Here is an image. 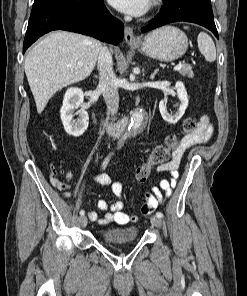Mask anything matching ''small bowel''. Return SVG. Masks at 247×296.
Segmentation results:
<instances>
[{
    "mask_svg": "<svg viewBox=\"0 0 247 296\" xmlns=\"http://www.w3.org/2000/svg\"><path fill=\"white\" fill-rule=\"evenodd\" d=\"M213 131V126L210 123L206 115L202 116L198 122L197 129L182 140L179 148L174 152L173 158L167 164H164L159 167V170L166 171L171 174L170 180H162L159 184V187H153L151 192L145 194L146 202L142 206V213L144 215L152 214L158 204L162 201L163 193L166 197L172 195V189L176 185V179L178 177V166L182 158L183 153L189 147L206 142L211 136ZM74 178V173L68 171L65 173V181H61L55 177H51L50 182L54 188L63 190L65 196L69 197L70 193L68 192L69 182ZM94 181L97 184L110 186L112 193L117 197L121 198L123 195V185L120 182H114L111 180L110 176L101 173L94 177ZM124 203L120 200L113 203H107L105 200H99L97 202V208L105 211L103 217H99L96 211H89L88 216L90 220L98 222L100 225H108L116 223L119 225H126L137 220V217L134 215H129L124 211Z\"/></svg>",
    "mask_w": 247,
    "mask_h": 296,
    "instance_id": "obj_1",
    "label": "small bowel"
}]
</instances>
